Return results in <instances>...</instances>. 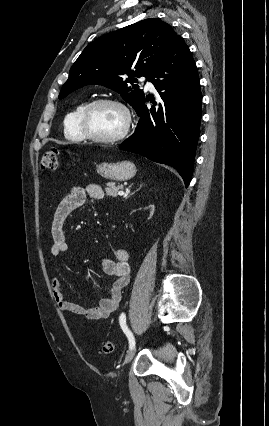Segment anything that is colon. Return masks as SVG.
Returning a JSON list of instances; mask_svg holds the SVG:
<instances>
[{
    "label": "colon",
    "mask_w": 269,
    "mask_h": 426,
    "mask_svg": "<svg viewBox=\"0 0 269 426\" xmlns=\"http://www.w3.org/2000/svg\"><path fill=\"white\" fill-rule=\"evenodd\" d=\"M59 151L55 148L46 150L40 158V166L45 171H55L58 167ZM114 350V343L106 341L101 346V353L110 354Z\"/></svg>",
    "instance_id": "colon-1"
}]
</instances>
